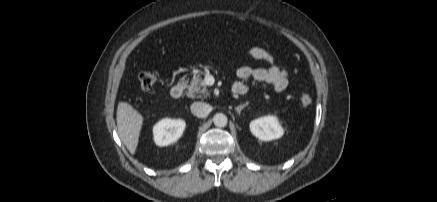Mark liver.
Returning <instances> with one entry per match:
<instances>
[{
	"label": "liver",
	"mask_w": 437,
	"mask_h": 202,
	"mask_svg": "<svg viewBox=\"0 0 437 202\" xmlns=\"http://www.w3.org/2000/svg\"><path fill=\"white\" fill-rule=\"evenodd\" d=\"M116 121L121 141L129 152L134 154L139 142L143 116L130 104L119 102Z\"/></svg>",
	"instance_id": "obj_1"
}]
</instances>
